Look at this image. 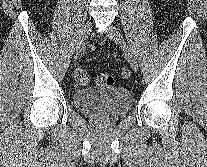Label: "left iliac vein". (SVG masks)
<instances>
[{
    "label": "left iliac vein",
    "instance_id": "left-iliac-vein-1",
    "mask_svg": "<svg viewBox=\"0 0 207 167\" xmlns=\"http://www.w3.org/2000/svg\"><path fill=\"white\" fill-rule=\"evenodd\" d=\"M107 34L112 41H114L117 45L121 47V49L124 52V56L126 60L128 61V63L130 64L131 68L134 71H137L138 64H137L136 58L132 50L130 49V47L127 45L121 32L116 27L111 26Z\"/></svg>",
    "mask_w": 207,
    "mask_h": 167
}]
</instances>
